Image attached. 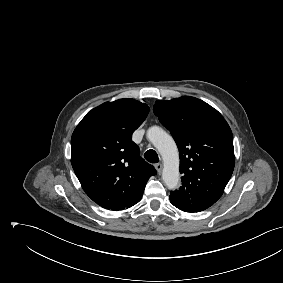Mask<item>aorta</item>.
<instances>
[{
    "label": "aorta",
    "mask_w": 283,
    "mask_h": 283,
    "mask_svg": "<svg viewBox=\"0 0 283 283\" xmlns=\"http://www.w3.org/2000/svg\"><path fill=\"white\" fill-rule=\"evenodd\" d=\"M148 140L154 145L162 156L164 168L162 178L169 189L177 188L180 182L179 152L173 138L157 126L147 131Z\"/></svg>",
    "instance_id": "762f6f07"
}]
</instances>
